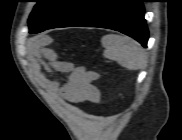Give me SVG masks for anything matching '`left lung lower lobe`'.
I'll return each instance as SVG.
<instances>
[{"label": "left lung lower lobe", "instance_id": "left-lung-lower-lobe-1", "mask_svg": "<svg viewBox=\"0 0 182 140\" xmlns=\"http://www.w3.org/2000/svg\"><path fill=\"white\" fill-rule=\"evenodd\" d=\"M143 2L144 0H104L71 26L113 29L133 37L143 47H147L148 29Z\"/></svg>", "mask_w": 182, "mask_h": 140}]
</instances>
